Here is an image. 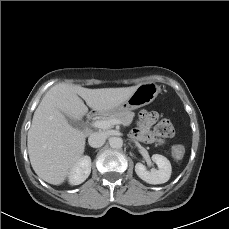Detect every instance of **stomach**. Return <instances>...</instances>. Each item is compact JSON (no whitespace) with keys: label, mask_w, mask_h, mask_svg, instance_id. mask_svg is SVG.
Wrapping results in <instances>:
<instances>
[{"label":"stomach","mask_w":229,"mask_h":229,"mask_svg":"<svg viewBox=\"0 0 229 229\" xmlns=\"http://www.w3.org/2000/svg\"><path fill=\"white\" fill-rule=\"evenodd\" d=\"M161 88L155 82H145L140 84L134 93L119 106L106 111L104 114H113L138 109L151 103L160 93Z\"/></svg>","instance_id":"1"}]
</instances>
